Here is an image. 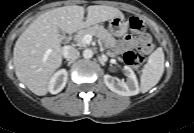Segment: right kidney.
<instances>
[{
	"label": "right kidney",
	"mask_w": 194,
	"mask_h": 133,
	"mask_svg": "<svg viewBox=\"0 0 194 133\" xmlns=\"http://www.w3.org/2000/svg\"><path fill=\"white\" fill-rule=\"evenodd\" d=\"M68 80V73L65 69L57 71L49 81V92L57 94L62 91Z\"/></svg>",
	"instance_id": "1"
}]
</instances>
